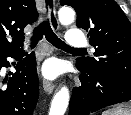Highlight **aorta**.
I'll return each mask as SVG.
<instances>
[{
    "instance_id": "aorta-1",
    "label": "aorta",
    "mask_w": 131,
    "mask_h": 115,
    "mask_svg": "<svg viewBox=\"0 0 131 115\" xmlns=\"http://www.w3.org/2000/svg\"><path fill=\"white\" fill-rule=\"evenodd\" d=\"M75 13L71 8L63 7L58 11V18L61 24L68 25L74 21ZM69 102V90L62 87L53 97L49 115H64Z\"/></svg>"
}]
</instances>
